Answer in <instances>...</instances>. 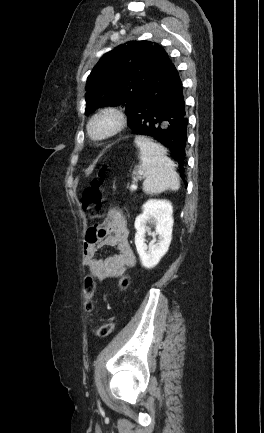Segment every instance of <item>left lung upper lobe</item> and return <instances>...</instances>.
<instances>
[{
    "label": "left lung upper lobe",
    "mask_w": 264,
    "mask_h": 433,
    "mask_svg": "<svg viewBox=\"0 0 264 433\" xmlns=\"http://www.w3.org/2000/svg\"><path fill=\"white\" fill-rule=\"evenodd\" d=\"M168 62L164 48L148 41L128 42L109 51L87 78L85 113L98 107L123 106L128 114Z\"/></svg>",
    "instance_id": "left-lung-upper-lobe-1"
}]
</instances>
